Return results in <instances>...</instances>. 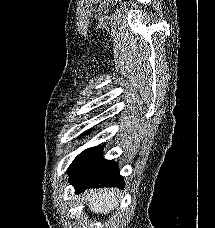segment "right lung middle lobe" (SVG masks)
<instances>
[{"instance_id":"obj_1","label":"right lung middle lobe","mask_w":215,"mask_h":228,"mask_svg":"<svg viewBox=\"0 0 215 228\" xmlns=\"http://www.w3.org/2000/svg\"><path fill=\"white\" fill-rule=\"evenodd\" d=\"M87 133V132H86ZM102 151V146H96L88 148L80 153L72 162L68 169V174H72L74 171L79 169L81 166L89 162L95 156H97Z\"/></svg>"}]
</instances>
